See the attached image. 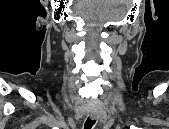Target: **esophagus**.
I'll return each mask as SVG.
<instances>
[{
    "instance_id": "obj_1",
    "label": "esophagus",
    "mask_w": 169,
    "mask_h": 129,
    "mask_svg": "<svg viewBox=\"0 0 169 129\" xmlns=\"http://www.w3.org/2000/svg\"><path fill=\"white\" fill-rule=\"evenodd\" d=\"M90 117H91L92 120L96 119V116L93 115V114H91Z\"/></svg>"
}]
</instances>
